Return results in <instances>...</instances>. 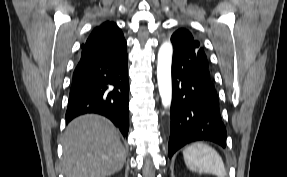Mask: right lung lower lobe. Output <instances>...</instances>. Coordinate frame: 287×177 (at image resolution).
I'll list each match as a JSON object with an SVG mask.
<instances>
[{
	"label": "right lung lower lobe",
	"mask_w": 287,
	"mask_h": 177,
	"mask_svg": "<svg viewBox=\"0 0 287 177\" xmlns=\"http://www.w3.org/2000/svg\"><path fill=\"white\" fill-rule=\"evenodd\" d=\"M74 70L66 123L86 113L109 118L126 138L129 86L126 41L121 30L92 31Z\"/></svg>",
	"instance_id": "98d812e1"
}]
</instances>
